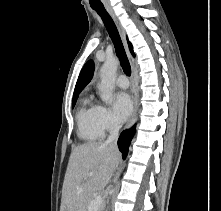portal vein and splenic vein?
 Listing matches in <instances>:
<instances>
[{"instance_id": "18ae733b", "label": "portal vein and splenic vein", "mask_w": 221, "mask_h": 211, "mask_svg": "<svg viewBox=\"0 0 221 211\" xmlns=\"http://www.w3.org/2000/svg\"><path fill=\"white\" fill-rule=\"evenodd\" d=\"M102 204V196L98 195L94 197L88 207V211H97Z\"/></svg>"}]
</instances>
